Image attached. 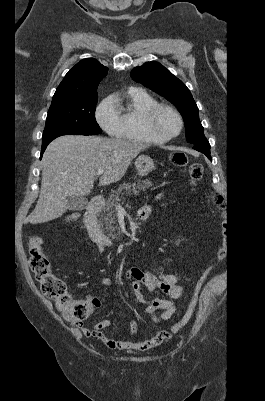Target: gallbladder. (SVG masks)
<instances>
[{
  "instance_id": "1",
  "label": "gallbladder",
  "mask_w": 265,
  "mask_h": 401,
  "mask_svg": "<svg viewBox=\"0 0 265 401\" xmlns=\"http://www.w3.org/2000/svg\"><path fill=\"white\" fill-rule=\"evenodd\" d=\"M88 205L86 196H67V209L69 211H84Z\"/></svg>"
}]
</instances>
